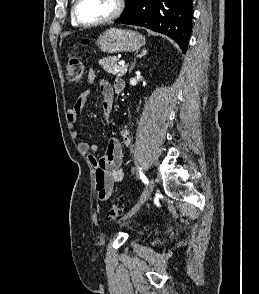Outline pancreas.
<instances>
[{
    "label": "pancreas",
    "instance_id": "obj_1",
    "mask_svg": "<svg viewBox=\"0 0 259 294\" xmlns=\"http://www.w3.org/2000/svg\"><path fill=\"white\" fill-rule=\"evenodd\" d=\"M118 58L116 56L108 57V58H102L99 60V64L102 66V68L113 75H116L118 77H121L126 74L127 67L125 66H119L117 64Z\"/></svg>",
    "mask_w": 259,
    "mask_h": 294
}]
</instances>
